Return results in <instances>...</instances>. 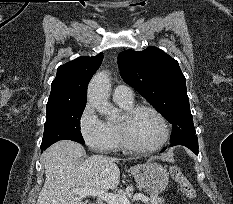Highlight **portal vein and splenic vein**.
<instances>
[{
	"instance_id": "1",
	"label": "portal vein and splenic vein",
	"mask_w": 233,
	"mask_h": 204,
	"mask_svg": "<svg viewBox=\"0 0 233 204\" xmlns=\"http://www.w3.org/2000/svg\"><path fill=\"white\" fill-rule=\"evenodd\" d=\"M72 191L80 196V198H84L86 196H93L106 201L108 204H130L129 199L120 194H113V193H105L99 192L89 187L84 188H73ZM141 200L143 202H147L148 199L143 194H135L133 196V201Z\"/></svg>"
}]
</instances>
